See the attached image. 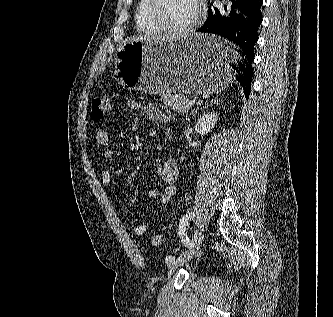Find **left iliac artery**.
<instances>
[{
    "label": "left iliac artery",
    "instance_id": "left-iliac-artery-1",
    "mask_svg": "<svg viewBox=\"0 0 333 317\" xmlns=\"http://www.w3.org/2000/svg\"><path fill=\"white\" fill-rule=\"evenodd\" d=\"M195 217L194 212H188L181 220L179 223V236L181 238L182 243L189 248L190 246V240L186 234V227L189 224V221ZM175 260L174 256H167L166 257V263H171L172 261Z\"/></svg>",
    "mask_w": 333,
    "mask_h": 317
}]
</instances>
